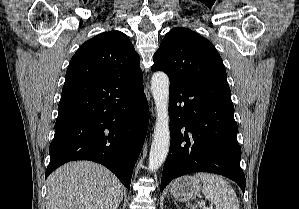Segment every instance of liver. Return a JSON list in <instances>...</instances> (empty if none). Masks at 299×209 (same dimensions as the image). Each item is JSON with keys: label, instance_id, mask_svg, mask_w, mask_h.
<instances>
[{"label": "liver", "instance_id": "obj_1", "mask_svg": "<svg viewBox=\"0 0 299 209\" xmlns=\"http://www.w3.org/2000/svg\"><path fill=\"white\" fill-rule=\"evenodd\" d=\"M123 190L107 168L90 161L70 162L49 176L46 209H117Z\"/></svg>", "mask_w": 299, "mask_h": 209}]
</instances>
